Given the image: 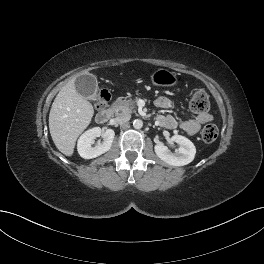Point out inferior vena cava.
I'll return each instance as SVG.
<instances>
[{
	"instance_id": "obj_1",
	"label": "inferior vena cava",
	"mask_w": 264,
	"mask_h": 264,
	"mask_svg": "<svg viewBox=\"0 0 264 264\" xmlns=\"http://www.w3.org/2000/svg\"><path fill=\"white\" fill-rule=\"evenodd\" d=\"M131 116L129 114H122L114 119V121L120 125L125 124L130 120Z\"/></svg>"
}]
</instances>
